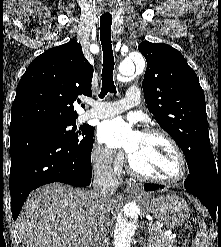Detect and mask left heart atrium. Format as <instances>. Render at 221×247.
Masks as SVG:
<instances>
[{"label":"left heart atrium","mask_w":221,"mask_h":247,"mask_svg":"<svg viewBox=\"0 0 221 247\" xmlns=\"http://www.w3.org/2000/svg\"><path fill=\"white\" fill-rule=\"evenodd\" d=\"M142 134L124 119L114 118L100 125L97 137L101 143L122 149L130 155L136 149Z\"/></svg>","instance_id":"left-heart-atrium-1"}]
</instances>
